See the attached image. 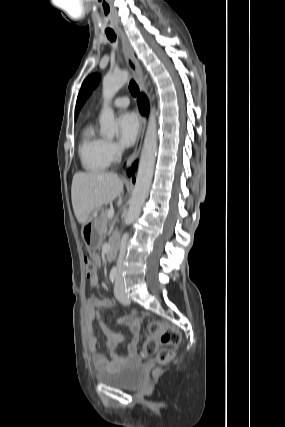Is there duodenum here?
<instances>
[{"instance_id":"duodenum-1","label":"duodenum","mask_w":285,"mask_h":427,"mask_svg":"<svg viewBox=\"0 0 285 427\" xmlns=\"http://www.w3.org/2000/svg\"><path fill=\"white\" fill-rule=\"evenodd\" d=\"M117 246H118V235L116 233H114L111 236V239L108 243V247H107V257L108 259H113L115 257L116 251H117Z\"/></svg>"}]
</instances>
